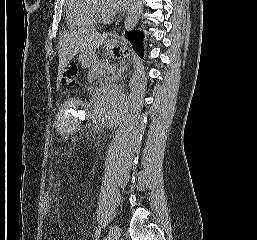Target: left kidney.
Here are the masks:
<instances>
[{"instance_id":"left-kidney-1","label":"left kidney","mask_w":257,"mask_h":240,"mask_svg":"<svg viewBox=\"0 0 257 240\" xmlns=\"http://www.w3.org/2000/svg\"><path fill=\"white\" fill-rule=\"evenodd\" d=\"M102 102L108 119H115L123 112L128 104V99L122 87L112 85L108 87L102 95Z\"/></svg>"}]
</instances>
